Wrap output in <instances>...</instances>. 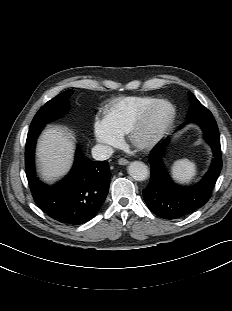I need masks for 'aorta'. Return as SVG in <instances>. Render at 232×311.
<instances>
[{
	"label": "aorta",
	"instance_id": "obj_1",
	"mask_svg": "<svg viewBox=\"0 0 232 311\" xmlns=\"http://www.w3.org/2000/svg\"><path fill=\"white\" fill-rule=\"evenodd\" d=\"M129 175L136 181H143L149 175L148 166L140 161L131 162L128 166Z\"/></svg>",
	"mask_w": 232,
	"mask_h": 311
}]
</instances>
